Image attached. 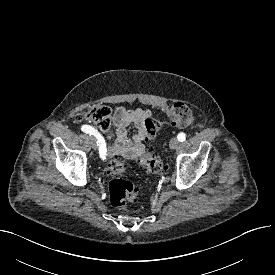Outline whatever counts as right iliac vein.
I'll return each mask as SVG.
<instances>
[{"label": "right iliac vein", "mask_w": 275, "mask_h": 275, "mask_svg": "<svg viewBox=\"0 0 275 275\" xmlns=\"http://www.w3.org/2000/svg\"><path fill=\"white\" fill-rule=\"evenodd\" d=\"M90 140H91V146H92V148L94 149V150H96L97 149V139L95 138V137H91L90 138Z\"/></svg>", "instance_id": "63e3f726"}]
</instances>
